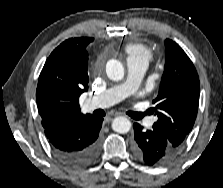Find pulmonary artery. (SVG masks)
<instances>
[{
  "label": "pulmonary artery",
  "mask_w": 223,
  "mask_h": 188,
  "mask_svg": "<svg viewBox=\"0 0 223 188\" xmlns=\"http://www.w3.org/2000/svg\"><path fill=\"white\" fill-rule=\"evenodd\" d=\"M148 68V63L142 59H127V78L116 86L106 91L92 96L85 101L87 110H95L112 106L124 98L133 95L141 84L144 74ZM154 120L148 121V126L153 124Z\"/></svg>",
  "instance_id": "pulmonary-artery-1"
}]
</instances>
